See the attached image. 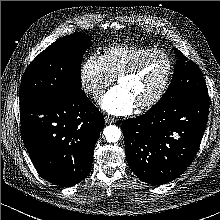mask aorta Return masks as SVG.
<instances>
[{
  "label": "aorta",
  "instance_id": "aorta-1",
  "mask_svg": "<svg viewBox=\"0 0 220 220\" xmlns=\"http://www.w3.org/2000/svg\"><path fill=\"white\" fill-rule=\"evenodd\" d=\"M103 133H104L106 140L110 143L117 142L121 138L120 128H118L115 125H109V126L105 127L103 130Z\"/></svg>",
  "mask_w": 220,
  "mask_h": 220
}]
</instances>
